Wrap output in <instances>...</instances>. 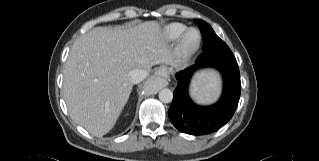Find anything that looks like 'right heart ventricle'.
Returning <instances> with one entry per match:
<instances>
[{"label":"right heart ventricle","instance_id":"1","mask_svg":"<svg viewBox=\"0 0 319 161\" xmlns=\"http://www.w3.org/2000/svg\"><path fill=\"white\" fill-rule=\"evenodd\" d=\"M186 30V25L179 22H173L163 27L162 34L166 41L172 42L177 40Z\"/></svg>","mask_w":319,"mask_h":161}]
</instances>
